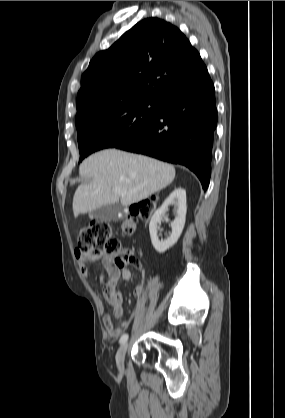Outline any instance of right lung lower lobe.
I'll return each mask as SVG.
<instances>
[{
    "label": "right lung lower lobe",
    "mask_w": 285,
    "mask_h": 418,
    "mask_svg": "<svg viewBox=\"0 0 285 418\" xmlns=\"http://www.w3.org/2000/svg\"><path fill=\"white\" fill-rule=\"evenodd\" d=\"M216 126L215 89L207 72L159 103L154 120L115 148L185 165L198 176L206 190Z\"/></svg>",
    "instance_id": "1"
}]
</instances>
